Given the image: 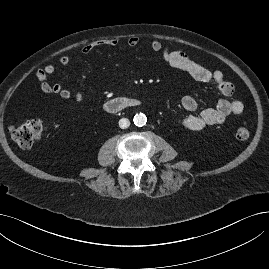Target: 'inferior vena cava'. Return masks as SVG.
Masks as SVG:
<instances>
[{"mask_svg": "<svg viewBox=\"0 0 269 269\" xmlns=\"http://www.w3.org/2000/svg\"><path fill=\"white\" fill-rule=\"evenodd\" d=\"M130 126V121L127 118H122L119 120V127L126 129Z\"/></svg>", "mask_w": 269, "mask_h": 269, "instance_id": "inferior-vena-cava-1", "label": "inferior vena cava"}]
</instances>
